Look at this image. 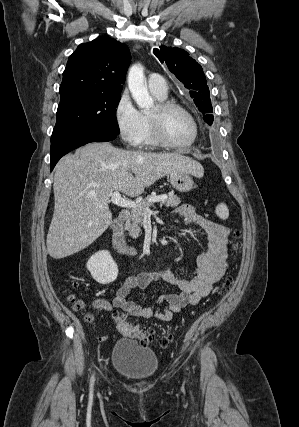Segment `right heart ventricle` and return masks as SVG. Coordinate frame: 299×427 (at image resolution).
<instances>
[{"label": "right heart ventricle", "instance_id": "1", "mask_svg": "<svg viewBox=\"0 0 299 427\" xmlns=\"http://www.w3.org/2000/svg\"><path fill=\"white\" fill-rule=\"evenodd\" d=\"M152 94L158 101H164V100H166V97H167V95L160 96V95H157L153 92H152ZM142 117H143L144 128H143V134H142L141 141H140L139 145L142 147H146V148L157 147L158 143L155 141V139L152 135L148 114L142 113Z\"/></svg>", "mask_w": 299, "mask_h": 427}]
</instances>
